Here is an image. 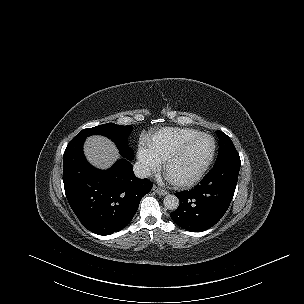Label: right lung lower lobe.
I'll list each match as a JSON object with an SVG mask.
<instances>
[{"label": "right lung lower lobe", "instance_id": "obj_1", "mask_svg": "<svg viewBox=\"0 0 304 304\" xmlns=\"http://www.w3.org/2000/svg\"><path fill=\"white\" fill-rule=\"evenodd\" d=\"M86 138L74 137L63 156V182L68 202L89 231L109 235L124 228L135 215L152 183L134 175L127 158L110 169L98 170L83 154Z\"/></svg>", "mask_w": 304, "mask_h": 304}]
</instances>
